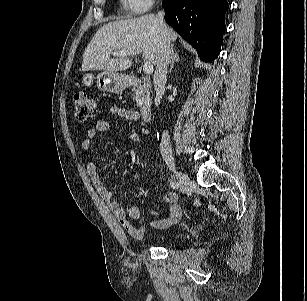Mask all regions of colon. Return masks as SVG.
Returning <instances> with one entry per match:
<instances>
[{
  "label": "colon",
  "mask_w": 307,
  "mask_h": 301,
  "mask_svg": "<svg viewBox=\"0 0 307 301\" xmlns=\"http://www.w3.org/2000/svg\"><path fill=\"white\" fill-rule=\"evenodd\" d=\"M75 117L78 121H86L97 114V103L94 98L84 93H77L73 97Z\"/></svg>",
  "instance_id": "colon-1"
}]
</instances>
